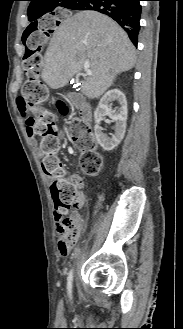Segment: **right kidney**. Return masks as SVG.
<instances>
[{
	"label": "right kidney",
	"instance_id": "right-kidney-1",
	"mask_svg": "<svg viewBox=\"0 0 183 329\" xmlns=\"http://www.w3.org/2000/svg\"><path fill=\"white\" fill-rule=\"evenodd\" d=\"M117 101L119 106L112 110V102ZM127 100L125 95L118 89H111L100 99L99 105L94 113L95 137L97 143L106 151H111L122 141L126 131ZM108 115L115 122V132L111 137L103 133L100 122L103 116Z\"/></svg>",
	"mask_w": 183,
	"mask_h": 329
}]
</instances>
